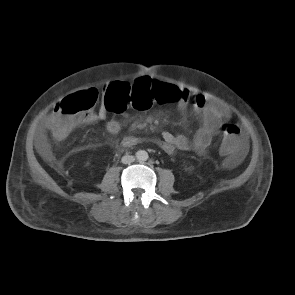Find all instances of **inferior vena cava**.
Returning a JSON list of instances; mask_svg holds the SVG:
<instances>
[{
    "label": "inferior vena cava",
    "mask_w": 295,
    "mask_h": 295,
    "mask_svg": "<svg viewBox=\"0 0 295 295\" xmlns=\"http://www.w3.org/2000/svg\"><path fill=\"white\" fill-rule=\"evenodd\" d=\"M123 164H130L135 161V157L132 155H125L121 159Z\"/></svg>",
    "instance_id": "602c4592"
}]
</instances>
